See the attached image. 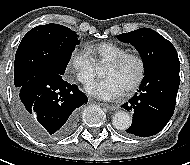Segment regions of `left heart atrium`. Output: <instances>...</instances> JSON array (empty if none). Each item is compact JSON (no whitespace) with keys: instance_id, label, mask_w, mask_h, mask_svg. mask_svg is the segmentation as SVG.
I'll return each mask as SVG.
<instances>
[{"instance_id":"obj_1","label":"left heart atrium","mask_w":190,"mask_h":165,"mask_svg":"<svg viewBox=\"0 0 190 165\" xmlns=\"http://www.w3.org/2000/svg\"><path fill=\"white\" fill-rule=\"evenodd\" d=\"M124 88L114 78L97 81L87 87V92L97 98L111 100L121 96Z\"/></svg>"}]
</instances>
